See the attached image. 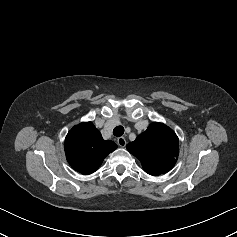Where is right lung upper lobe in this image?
I'll use <instances>...</instances> for the list:
<instances>
[{
	"label": "right lung upper lobe",
	"instance_id": "cb5924a9",
	"mask_svg": "<svg viewBox=\"0 0 237 237\" xmlns=\"http://www.w3.org/2000/svg\"><path fill=\"white\" fill-rule=\"evenodd\" d=\"M64 147L71 167L87 175L95 172L117 145L110 140L105 141L92 122H83L68 132Z\"/></svg>",
	"mask_w": 237,
	"mask_h": 237
}]
</instances>
